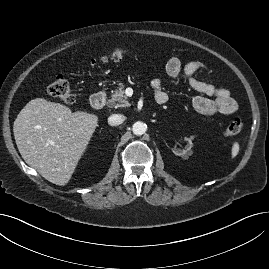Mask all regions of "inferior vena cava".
<instances>
[{"label":"inferior vena cava","mask_w":269,"mask_h":269,"mask_svg":"<svg viewBox=\"0 0 269 269\" xmlns=\"http://www.w3.org/2000/svg\"><path fill=\"white\" fill-rule=\"evenodd\" d=\"M125 117L121 114H112L111 116H109L108 118V124L110 126H117L120 125L124 122Z\"/></svg>","instance_id":"obj_1"}]
</instances>
